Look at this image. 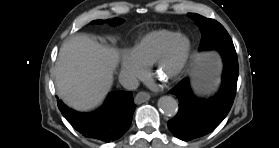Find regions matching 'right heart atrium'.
Segmentation results:
<instances>
[{
	"label": "right heart atrium",
	"instance_id": "1",
	"mask_svg": "<svg viewBox=\"0 0 279 148\" xmlns=\"http://www.w3.org/2000/svg\"><path fill=\"white\" fill-rule=\"evenodd\" d=\"M122 73L132 79L143 78L146 75L147 69L134 55L132 51H126L122 56L121 61Z\"/></svg>",
	"mask_w": 279,
	"mask_h": 148
}]
</instances>
